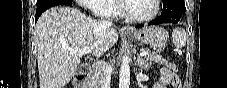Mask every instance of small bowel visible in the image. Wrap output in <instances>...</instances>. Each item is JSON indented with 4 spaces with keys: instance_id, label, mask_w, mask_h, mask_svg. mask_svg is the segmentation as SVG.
<instances>
[{
    "instance_id": "small-bowel-1",
    "label": "small bowel",
    "mask_w": 227,
    "mask_h": 88,
    "mask_svg": "<svg viewBox=\"0 0 227 88\" xmlns=\"http://www.w3.org/2000/svg\"><path fill=\"white\" fill-rule=\"evenodd\" d=\"M172 82H180L178 77L168 69L162 68L160 70V75L153 84V88H164L166 84Z\"/></svg>"
}]
</instances>
